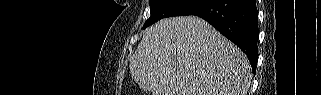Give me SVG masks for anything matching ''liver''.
<instances>
[{
  "label": "liver",
  "mask_w": 321,
  "mask_h": 95,
  "mask_svg": "<svg viewBox=\"0 0 321 95\" xmlns=\"http://www.w3.org/2000/svg\"><path fill=\"white\" fill-rule=\"evenodd\" d=\"M130 74L152 95H247V57L194 16L163 19L145 30Z\"/></svg>",
  "instance_id": "1"
}]
</instances>
